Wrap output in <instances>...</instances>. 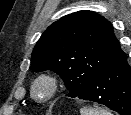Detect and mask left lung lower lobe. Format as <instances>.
Listing matches in <instances>:
<instances>
[{"instance_id":"0a47b994","label":"left lung lower lobe","mask_w":131,"mask_h":115,"mask_svg":"<svg viewBox=\"0 0 131 115\" xmlns=\"http://www.w3.org/2000/svg\"><path fill=\"white\" fill-rule=\"evenodd\" d=\"M77 98L103 104L120 115H131V67L126 54L95 77Z\"/></svg>"}]
</instances>
